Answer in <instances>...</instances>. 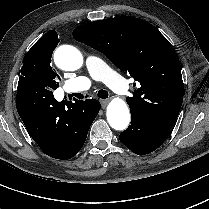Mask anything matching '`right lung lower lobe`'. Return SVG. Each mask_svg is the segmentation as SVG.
<instances>
[{
	"instance_id": "98d812e1",
	"label": "right lung lower lobe",
	"mask_w": 209,
	"mask_h": 209,
	"mask_svg": "<svg viewBox=\"0 0 209 209\" xmlns=\"http://www.w3.org/2000/svg\"><path fill=\"white\" fill-rule=\"evenodd\" d=\"M89 113L81 122H74L70 111L72 102H57L53 94L31 84L19 83L17 111L27 132L46 154L56 159H70L82 148L88 130L96 118L100 103L95 99L85 101Z\"/></svg>"
}]
</instances>
